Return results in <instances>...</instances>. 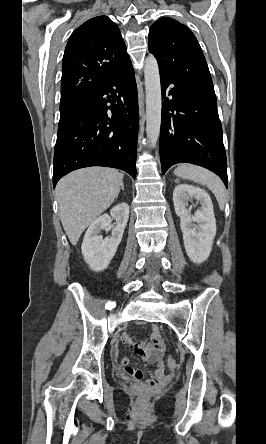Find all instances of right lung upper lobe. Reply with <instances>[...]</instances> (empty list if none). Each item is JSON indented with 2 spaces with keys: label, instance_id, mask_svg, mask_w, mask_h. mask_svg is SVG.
Returning <instances> with one entry per match:
<instances>
[{
  "label": "right lung upper lobe",
  "instance_id": "right-lung-upper-lobe-1",
  "mask_svg": "<svg viewBox=\"0 0 266 444\" xmlns=\"http://www.w3.org/2000/svg\"><path fill=\"white\" fill-rule=\"evenodd\" d=\"M130 62L118 26L94 17L70 36L62 61L61 100L82 99Z\"/></svg>",
  "mask_w": 266,
  "mask_h": 444
}]
</instances>
